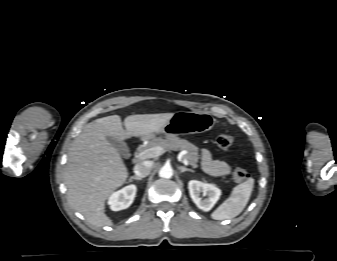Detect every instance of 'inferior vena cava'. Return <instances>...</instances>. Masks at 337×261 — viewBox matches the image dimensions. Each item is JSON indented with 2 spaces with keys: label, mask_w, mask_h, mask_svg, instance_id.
I'll return each instance as SVG.
<instances>
[{
  "label": "inferior vena cava",
  "mask_w": 337,
  "mask_h": 261,
  "mask_svg": "<svg viewBox=\"0 0 337 261\" xmlns=\"http://www.w3.org/2000/svg\"><path fill=\"white\" fill-rule=\"evenodd\" d=\"M152 166H153L152 161H144V162L137 163L134 166V173L139 177H142V178L146 177L150 174Z\"/></svg>",
  "instance_id": "602c4592"
}]
</instances>
